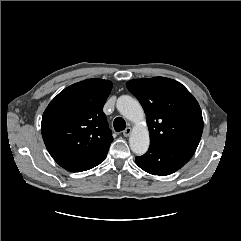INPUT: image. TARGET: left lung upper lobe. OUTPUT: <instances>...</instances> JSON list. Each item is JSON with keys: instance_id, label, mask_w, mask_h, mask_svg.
Returning <instances> with one entry per match:
<instances>
[{"instance_id": "left-lung-upper-lobe-1", "label": "left lung upper lobe", "mask_w": 241, "mask_h": 241, "mask_svg": "<svg viewBox=\"0 0 241 241\" xmlns=\"http://www.w3.org/2000/svg\"><path fill=\"white\" fill-rule=\"evenodd\" d=\"M126 85L145 111L150 141L197 148L203 131L202 113L181 83L156 77L130 80Z\"/></svg>"}]
</instances>
